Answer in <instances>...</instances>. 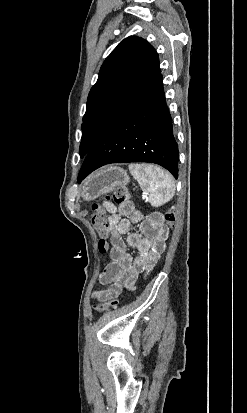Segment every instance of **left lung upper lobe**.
I'll return each instance as SVG.
<instances>
[{
    "mask_svg": "<svg viewBox=\"0 0 247 413\" xmlns=\"http://www.w3.org/2000/svg\"><path fill=\"white\" fill-rule=\"evenodd\" d=\"M159 73L158 54L146 40L130 36L118 44L105 59L88 96L81 127V158Z\"/></svg>",
    "mask_w": 247,
    "mask_h": 413,
    "instance_id": "obj_1",
    "label": "left lung upper lobe"
}]
</instances>
